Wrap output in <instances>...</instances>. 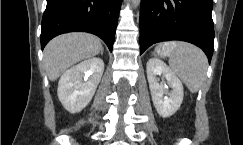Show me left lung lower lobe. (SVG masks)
Instances as JSON below:
<instances>
[{
  "label": "left lung lower lobe",
  "instance_id": "left-lung-lower-lobe-1",
  "mask_svg": "<svg viewBox=\"0 0 243 145\" xmlns=\"http://www.w3.org/2000/svg\"><path fill=\"white\" fill-rule=\"evenodd\" d=\"M213 0H141L140 54L150 45L182 40L200 47L210 63L214 48Z\"/></svg>",
  "mask_w": 243,
  "mask_h": 145
}]
</instances>
